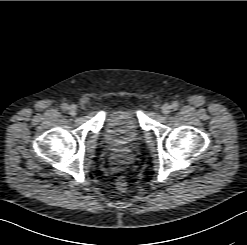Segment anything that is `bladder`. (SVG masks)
<instances>
[{
    "label": "bladder",
    "instance_id": "obj_1",
    "mask_svg": "<svg viewBox=\"0 0 247 245\" xmlns=\"http://www.w3.org/2000/svg\"><path fill=\"white\" fill-rule=\"evenodd\" d=\"M140 137L139 118L132 107H119L106 113L102 127V139L105 145L133 146Z\"/></svg>",
    "mask_w": 247,
    "mask_h": 245
}]
</instances>
